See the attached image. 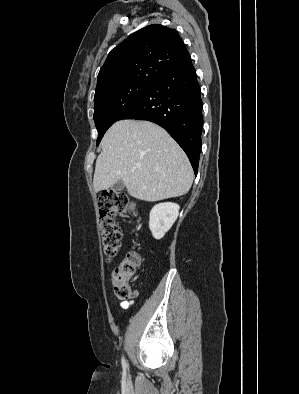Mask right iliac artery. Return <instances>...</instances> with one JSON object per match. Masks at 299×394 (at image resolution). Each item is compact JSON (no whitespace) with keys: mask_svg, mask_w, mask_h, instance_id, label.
<instances>
[{"mask_svg":"<svg viewBox=\"0 0 299 394\" xmlns=\"http://www.w3.org/2000/svg\"><path fill=\"white\" fill-rule=\"evenodd\" d=\"M122 367H123L124 369H126V368L128 367V364H127V362H126V360H125L124 357L122 358Z\"/></svg>","mask_w":299,"mask_h":394,"instance_id":"1","label":"right iliac artery"}]
</instances>
